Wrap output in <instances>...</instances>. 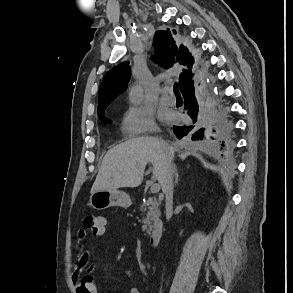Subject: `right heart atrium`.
Returning <instances> with one entry per match:
<instances>
[{
    "label": "right heart atrium",
    "mask_w": 293,
    "mask_h": 293,
    "mask_svg": "<svg viewBox=\"0 0 293 293\" xmlns=\"http://www.w3.org/2000/svg\"><path fill=\"white\" fill-rule=\"evenodd\" d=\"M122 126L130 135L155 133L158 131L154 114L141 108H131L122 117Z\"/></svg>",
    "instance_id": "1"
}]
</instances>
